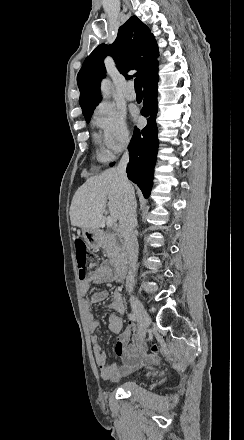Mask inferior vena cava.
<instances>
[{"mask_svg": "<svg viewBox=\"0 0 244 440\" xmlns=\"http://www.w3.org/2000/svg\"><path fill=\"white\" fill-rule=\"evenodd\" d=\"M129 162V154H123L116 172L118 174L119 182L124 188L123 204L119 218V232L125 240L126 252L128 254V276L126 280V290L132 292L134 286V274L136 270V262L138 258V242L134 234L137 226L136 220V200L132 184H130L126 176V168Z\"/></svg>", "mask_w": 244, "mask_h": 440, "instance_id": "1", "label": "inferior vena cava"}]
</instances>
